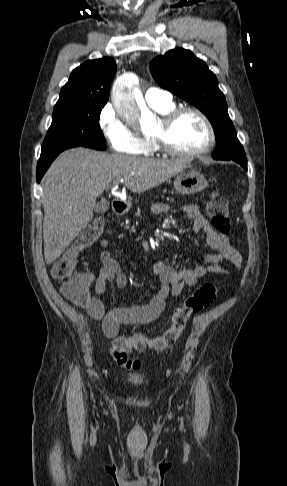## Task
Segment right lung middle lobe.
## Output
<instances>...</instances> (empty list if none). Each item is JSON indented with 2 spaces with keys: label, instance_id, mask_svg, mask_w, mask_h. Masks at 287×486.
<instances>
[{
  "label": "right lung middle lobe",
  "instance_id": "right-lung-middle-lobe-1",
  "mask_svg": "<svg viewBox=\"0 0 287 486\" xmlns=\"http://www.w3.org/2000/svg\"><path fill=\"white\" fill-rule=\"evenodd\" d=\"M105 104L82 102L55 106L40 158L80 146L105 150L106 142L99 126L100 113Z\"/></svg>",
  "mask_w": 287,
  "mask_h": 486
}]
</instances>
